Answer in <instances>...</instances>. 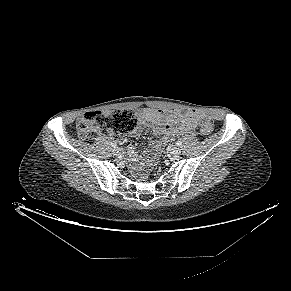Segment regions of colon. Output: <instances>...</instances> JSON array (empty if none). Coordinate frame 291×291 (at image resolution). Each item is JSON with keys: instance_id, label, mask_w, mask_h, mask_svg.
Wrapping results in <instances>:
<instances>
[{"instance_id": "1", "label": "colon", "mask_w": 291, "mask_h": 291, "mask_svg": "<svg viewBox=\"0 0 291 291\" xmlns=\"http://www.w3.org/2000/svg\"><path fill=\"white\" fill-rule=\"evenodd\" d=\"M141 121L140 113L134 110H116L111 113L89 111L81 116L77 126L81 136L95 139L102 135L119 138L121 135L134 131ZM213 131L210 121L201 123L200 132L209 135Z\"/></svg>"}]
</instances>
